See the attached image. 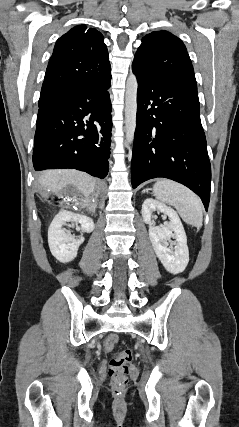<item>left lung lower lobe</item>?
<instances>
[{
    "label": "left lung lower lobe",
    "instance_id": "obj_1",
    "mask_svg": "<svg viewBox=\"0 0 239 427\" xmlns=\"http://www.w3.org/2000/svg\"><path fill=\"white\" fill-rule=\"evenodd\" d=\"M138 80L132 187L164 177L194 191L208 209L211 166L200 120L198 94L143 74Z\"/></svg>",
    "mask_w": 239,
    "mask_h": 427
}]
</instances>
